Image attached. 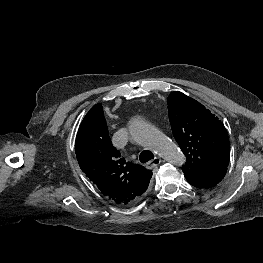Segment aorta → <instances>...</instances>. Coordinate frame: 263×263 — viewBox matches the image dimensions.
Returning <instances> with one entry per match:
<instances>
[{"instance_id":"762f6f07","label":"aorta","mask_w":263,"mask_h":263,"mask_svg":"<svg viewBox=\"0 0 263 263\" xmlns=\"http://www.w3.org/2000/svg\"><path fill=\"white\" fill-rule=\"evenodd\" d=\"M129 131L136 142L149 147L168 162L179 166L185 163L181 150L149 123L135 118L129 124Z\"/></svg>"}]
</instances>
